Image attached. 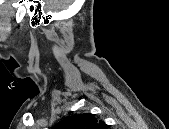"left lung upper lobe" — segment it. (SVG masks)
Instances as JSON below:
<instances>
[{
    "instance_id": "1",
    "label": "left lung upper lobe",
    "mask_w": 169,
    "mask_h": 129,
    "mask_svg": "<svg viewBox=\"0 0 169 129\" xmlns=\"http://www.w3.org/2000/svg\"><path fill=\"white\" fill-rule=\"evenodd\" d=\"M56 129H106V124L97 120L91 113L71 116L60 121Z\"/></svg>"
}]
</instances>
